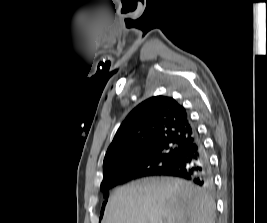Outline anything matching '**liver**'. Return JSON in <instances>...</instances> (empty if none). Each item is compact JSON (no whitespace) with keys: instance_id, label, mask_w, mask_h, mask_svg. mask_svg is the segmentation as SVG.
I'll list each match as a JSON object with an SVG mask.
<instances>
[{"instance_id":"1","label":"liver","mask_w":267,"mask_h":223,"mask_svg":"<svg viewBox=\"0 0 267 223\" xmlns=\"http://www.w3.org/2000/svg\"><path fill=\"white\" fill-rule=\"evenodd\" d=\"M103 223H215V203L191 182L144 178L115 189Z\"/></svg>"}]
</instances>
